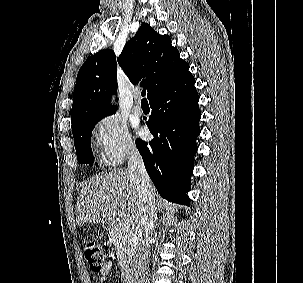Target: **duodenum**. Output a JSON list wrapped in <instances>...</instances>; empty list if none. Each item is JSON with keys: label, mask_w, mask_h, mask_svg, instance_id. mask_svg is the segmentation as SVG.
<instances>
[{"label": "duodenum", "mask_w": 303, "mask_h": 283, "mask_svg": "<svg viewBox=\"0 0 303 283\" xmlns=\"http://www.w3.org/2000/svg\"><path fill=\"white\" fill-rule=\"evenodd\" d=\"M112 225L113 224L110 222L108 224V228H111ZM123 274H124V279H125L126 283H133V279H132V276H131V271L129 269H123Z\"/></svg>", "instance_id": "obj_1"}]
</instances>
